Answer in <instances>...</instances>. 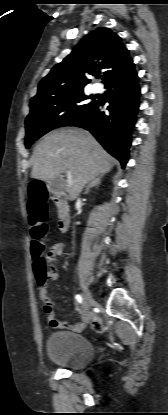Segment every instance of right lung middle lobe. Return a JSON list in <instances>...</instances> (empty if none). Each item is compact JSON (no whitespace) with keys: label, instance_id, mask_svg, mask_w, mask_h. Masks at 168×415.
<instances>
[{"label":"right lung middle lobe","instance_id":"obj_1","mask_svg":"<svg viewBox=\"0 0 168 415\" xmlns=\"http://www.w3.org/2000/svg\"><path fill=\"white\" fill-rule=\"evenodd\" d=\"M92 98L79 91L33 107L25 121L26 148L47 132L68 126L86 114L97 101L94 99L89 101Z\"/></svg>","mask_w":168,"mask_h":415}]
</instances>
